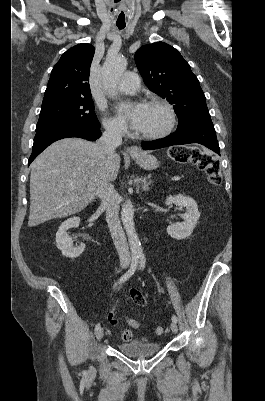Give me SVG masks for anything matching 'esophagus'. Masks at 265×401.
Masks as SVG:
<instances>
[{
    "label": "esophagus",
    "mask_w": 265,
    "mask_h": 401,
    "mask_svg": "<svg viewBox=\"0 0 265 401\" xmlns=\"http://www.w3.org/2000/svg\"><path fill=\"white\" fill-rule=\"evenodd\" d=\"M127 151L133 156L138 152L137 146H130L127 148Z\"/></svg>",
    "instance_id": "34e87169"
}]
</instances>
